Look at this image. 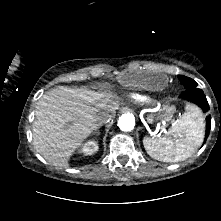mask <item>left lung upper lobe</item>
<instances>
[{
	"instance_id": "5c2ea615",
	"label": "left lung upper lobe",
	"mask_w": 221,
	"mask_h": 221,
	"mask_svg": "<svg viewBox=\"0 0 221 221\" xmlns=\"http://www.w3.org/2000/svg\"><path fill=\"white\" fill-rule=\"evenodd\" d=\"M179 78L186 89H192L197 87V83L193 79L183 75H179Z\"/></svg>"
}]
</instances>
